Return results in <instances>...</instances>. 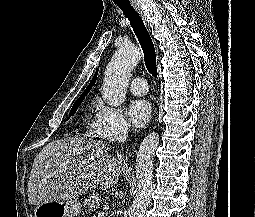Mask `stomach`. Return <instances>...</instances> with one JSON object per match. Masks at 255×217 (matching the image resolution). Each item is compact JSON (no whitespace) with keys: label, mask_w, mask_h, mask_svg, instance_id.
Returning <instances> with one entry per match:
<instances>
[{"label":"stomach","mask_w":255,"mask_h":217,"mask_svg":"<svg viewBox=\"0 0 255 217\" xmlns=\"http://www.w3.org/2000/svg\"><path fill=\"white\" fill-rule=\"evenodd\" d=\"M81 208V202L76 198L52 201L38 205L34 210V217H77Z\"/></svg>","instance_id":"1"}]
</instances>
